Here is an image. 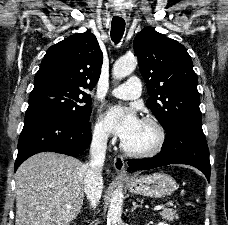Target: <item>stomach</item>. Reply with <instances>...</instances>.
Here are the masks:
<instances>
[{
	"label": "stomach",
	"mask_w": 228,
	"mask_h": 225,
	"mask_svg": "<svg viewBox=\"0 0 228 225\" xmlns=\"http://www.w3.org/2000/svg\"><path fill=\"white\" fill-rule=\"evenodd\" d=\"M176 189V181L170 175H165V173L134 177L129 183L130 193L151 197V199H163V197L172 195Z\"/></svg>",
	"instance_id": "stomach-1"
}]
</instances>
